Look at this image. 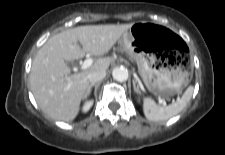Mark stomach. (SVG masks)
Masks as SVG:
<instances>
[{"label":"stomach","mask_w":225,"mask_h":155,"mask_svg":"<svg viewBox=\"0 0 225 155\" xmlns=\"http://www.w3.org/2000/svg\"><path fill=\"white\" fill-rule=\"evenodd\" d=\"M127 54L153 94L170 95L190 82V71L180 53V41L170 29L150 22L134 23L123 34Z\"/></svg>","instance_id":"1"}]
</instances>
